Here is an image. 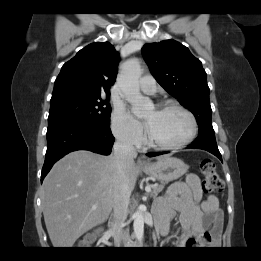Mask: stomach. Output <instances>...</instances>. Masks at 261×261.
<instances>
[{
	"label": "stomach",
	"mask_w": 261,
	"mask_h": 261,
	"mask_svg": "<svg viewBox=\"0 0 261 261\" xmlns=\"http://www.w3.org/2000/svg\"><path fill=\"white\" fill-rule=\"evenodd\" d=\"M188 166L179 158L170 155L162 156L157 162L150 163L142 170L161 182H170L180 178L187 172Z\"/></svg>",
	"instance_id": "stomach-1"
}]
</instances>
